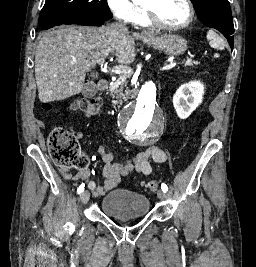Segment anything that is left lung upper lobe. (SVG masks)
Returning a JSON list of instances; mask_svg holds the SVG:
<instances>
[{"label":"left lung upper lobe","mask_w":256,"mask_h":267,"mask_svg":"<svg viewBox=\"0 0 256 267\" xmlns=\"http://www.w3.org/2000/svg\"><path fill=\"white\" fill-rule=\"evenodd\" d=\"M196 6L201 21L208 27L219 30L233 49L234 33L231 8L228 0H191Z\"/></svg>","instance_id":"obj_1"}]
</instances>
